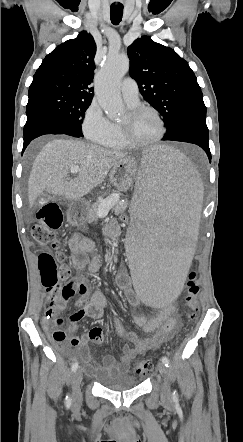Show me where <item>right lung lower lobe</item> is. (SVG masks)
<instances>
[{"mask_svg":"<svg viewBox=\"0 0 243 442\" xmlns=\"http://www.w3.org/2000/svg\"><path fill=\"white\" fill-rule=\"evenodd\" d=\"M45 134H66L73 137H83L68 122L59 116L45 110H32L27 113V122L24 126L23 151L35 138Z\"/></svg>","mask_w":243,"mask_h":442,"instance_id":"right-lung-lower-lobe-1","label":"right lung lower lobe"}]
</instances>
